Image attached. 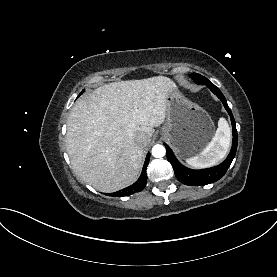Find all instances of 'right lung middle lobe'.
<instances>
[{"label":"right lung middle lobe","mask_w":277,"mask_h":277,"mask_svg":"<svg viewBox=\"0 0 277 277\" xmlns=\"http://www.w3.org/2000/svg\"><path fill=\"white\" fill-rule=\"evenodd\" d=\"M83 93V91L79 94V96Z\"/></svg>","instance_id":"obj_1"}]
</instances>
